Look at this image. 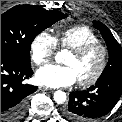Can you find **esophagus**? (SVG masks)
I'll return each mask as SVG.
<instances>
[{"mask_svg":"<svg viewBox=\"0 0 122 122\" xmlns=\"http://www.w3.org/2000/svg\"><path fill=\"white\" fill-rule=\"evenodd\" d=\"M41 90H43V91H49V92H54L55 91V89L48 88V87H41Z\"/></svg>","mask_w":122,"mask_h":122,"instance_id":"1","label":"esophagus"}]
</instances>
